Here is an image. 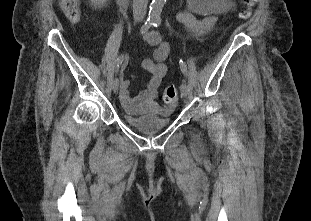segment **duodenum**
Masks as SVG:
<instances>
[{
	"label": "duodenum",
	"mask_w": 311,
	"mask_h": 221,
	"mask_svg": "<svg viewBox=\"0 0 311 221\" xmlns=\"http://www.w3.org/2000/svg\"><path fill=\"white\" fill-rule=\"evenodd\" d=\"M117 2H118L119 4H127V3L130 2V0H117Z\"/></svg>",
	"instance_id": "duodenum-1"
}]
</instances>
